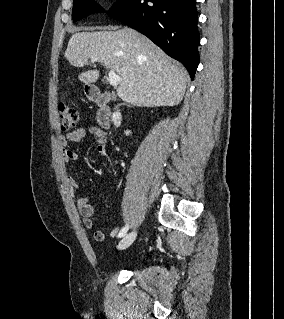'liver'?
I'll return each instance as SVG.
<instances>
[{"mask_svg": "<svg viewBox=\"0 0 284 319\" xmlns=\"http://www.w3.org/2000/svg\"><path fill=\"white\" fill-rule=\"evenodd\" d=\"M64 56L75 67L97 58L98 63L121 77L117 94L122 101L136 106L178 105L189 80L183 67L147 37L127 27L117 31H78L71 36ZM78 78L84 84L94 83L99 70L85 71Z\"/></svg>", "mask_w": 284, "mask_h": 319, "instance_id": "6515ba94", "label": "liver"}]
</instances>
